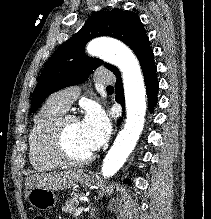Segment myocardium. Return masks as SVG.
I'll use <instances>...</instances> for the list:
<instances>
[{
  "mask_svg": "<svg viewBox=\"0 0 211 219\" xmlns=\"http://www.w3.org/2000/svg\"><path fill=\"white\" fill-rule=\"evenodd\" d=\"M71 121H78V118L68 113H64L55 121L49 135L50 148L53 154L66 165H86L94 159L93 152L85 157H76L67 147L66 132Z\"/></svg>",
  "mask_w": 211,
  "mask_h": 219,
  "instance_id": "f54148a6",
  "label": "myocardium"
}]
</instances>
